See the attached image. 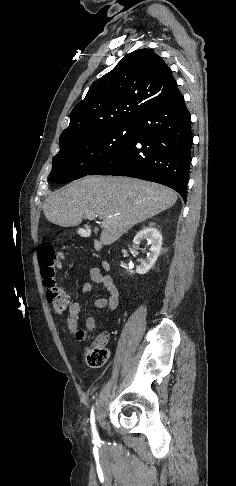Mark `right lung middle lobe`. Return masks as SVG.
Segmentation results:
<instances>
[{"label": "right lung middle lobe", "instance_id": "obj_1", "mask_svg": "<svg viewBox=\"0 0 236 486\" xmlns=\"http://www.w3.org/2000/svg\"><path fill=\"white\" fill-rule=\"evenodd\" d=\"M136 124L94 130L60 142L52 162L50 180L67 183L88 175L117 151L131 143Z\"/></svg>", "mask_w": 236, "mask_h": 486}]
</instances>
